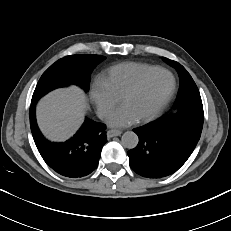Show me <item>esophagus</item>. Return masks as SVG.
Instances as JSON below:
<instances>
[{
	"label": "esophagus",
	"instance_id": "1",
	"mask_svg": "<svg viewBox=\"0 0 231 231\" xmlns=\"http://www.w3.org/2000/svg\"><path fill=\"white\" fill-rule=\"evenodd\" d=\"M122 134V131L121 130H116V129H112V130H108L107 131V137L108 138H112V137H115V136H119Z\"/></svg>",
	"mask_w": 231,
	"mask_h": 231
}]
</instances>
